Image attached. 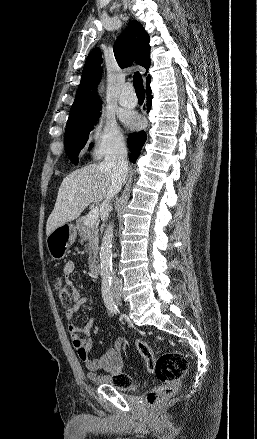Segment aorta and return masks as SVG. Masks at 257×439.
<instances>
[{
	"mask_svg": "<svg viewBox=\"0 0 257 439\" xmlns=\"http://www.w3.org/2000/svg\"><path fill=\"white\" fill-rule=\"evenodd\" d=\"M113 224H109L104 232L102 244L100 248V269L103 283L110 282L113 272L112 263V239H113Z\"/></svg>",
	"mask_w": 257,
	"mask_h": 439,
	"instance_id": "762f6f07",
	"label": "aorta"
}]
</instances>
